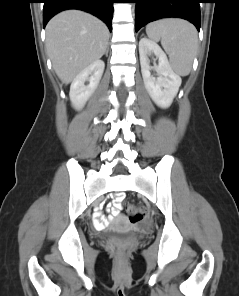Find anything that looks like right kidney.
I'll list each match as a JSON object with an SVG mask.
<instances>
[{"instance_id": "right-kidney-1", "label": "right kidney", "mask_w": 239, "mask_h": 296, "mask_svg": "<svg viewBox=\"0 0 239 296\" xmlns=\"http://www.w3.org/2000/svg\"><path fill=\"white\" fill-rule=\"evenodd\" d=\"M104 68L105 63L102 60H96L83 69L72 81L69 96L75 109L82 108L94 93L100 82Z\"/></svg>"}]
</instances>
